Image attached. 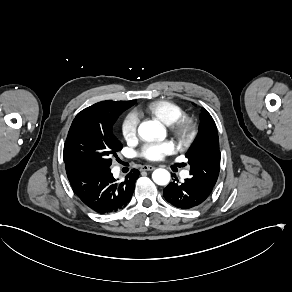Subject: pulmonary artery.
<instances>
[{"label":"pulmonary artery","instance_id":"pulmonary-artery-1","mask_svg":"<svg viewBox=\"0 0 292 292\" xmlns=\"http://www.w3.org/2000/svg\"><path fill=\"white\" fill-rule=\"evenodd\" d=\"M190 175V171L189 170H186L184 173H183V177H189Z\"/></svg>","mask_w":292,"mask_h":292}]
</instances>
